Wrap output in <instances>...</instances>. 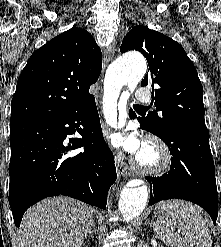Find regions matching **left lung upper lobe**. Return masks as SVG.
Here are the masks:
<instances>
[{
    "mask_svg": "<svg viewBox=\"0 0 221 247\" xmlns=\"http://www.w3.org/2000/svg\"><path fill=\"white\" fill-rule=\"evenodd\" d=\"M129 50L141 52L149 65L141 82L143 87H152L156 107V111L142 118L149 129L164 138L174 127L207 130L203 87L183 47L158 31L137 25L120 47L122 53Z\"/></svg>",
    "mask_w": 221,
    "mask_h": 247,
    "instance_id": "left-lung-upper-lobe-1",
    "label": "left lung upper lobe"
}]
</instances>
